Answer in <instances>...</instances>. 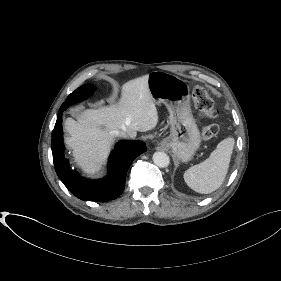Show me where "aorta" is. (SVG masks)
<instances>
[{
	"label": "aorta",
	"mask_w": 281,
	"mask_h": 281,
	"mask_svg": "<svg viewBox=\"0 0 281 281\" xmlns=\"http://www.w3.org/2000/svg\"><path fill=\"white\" fill-rule=\"evenodd\" d=\"M152 159L154 164L160 168H165L170 164V158L165 152H155Z\"/></svg>",
	"instance_id": "aorta-1"
}]
</instances>
